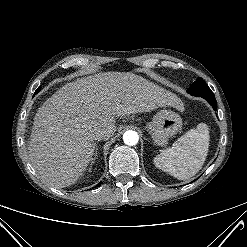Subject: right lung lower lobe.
Masks as SVG:
<instances>
[{
	"instance_id": "obj_1",
	"label": "right lung lower lobe",
	"mask_w": 247,
	"mask_h": 247,
	"mask_svg": "<svg viewBox=\"0 0 247 247\" xmlns=\"http://www.w3.org/2000/svg\"><path fill=\"white\" fill-rule=\"evenodd\" d=\"M37 92H39V89L36 90L35 94H36ZM101 183H102V182H100V183L98 184V186H100Z\"/></svg>"
}]
</instances>
